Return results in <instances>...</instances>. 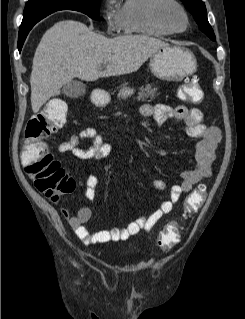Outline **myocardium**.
<instances>
[{
    "label": "myocardium",
    "mask_w": 245,
    "mask_h": 319,
    "mask_svg": "<svg viewBox=\"0 0 245 319\" xmlns=\"http://www.w3.org/2000/svg\"><path fill=\"white\" fill-rule=\"evenodd\" d=\"M176 12L182 18V26L176 27L171 20V13ZM156 20L170 33H182L189 25V18L185 8L176 0H161L154 6Z\"/></svg>",
    "instance_id": "myocardium-1"
}]
</instances>
